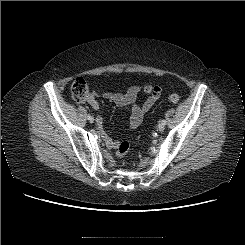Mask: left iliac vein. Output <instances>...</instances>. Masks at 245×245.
Here are the masks:
<instances>
[{
	"label": "left iliac vein",
	"instance_id": "obj_1",
	"mask_svg": "<svg viewBox=\"0 0 245 245\" xmlns=\"http://www.w3.org/2000/svg\"><path fill=\"white\" fill-rule=\"evenodd\" d=\"M164 128H165V125L162 124V123L160 122V123L158 124V130H159V131H163Z\"/></svg>",
	"mask_w": 245,
	"mask_h": 245
}]
</instances>
